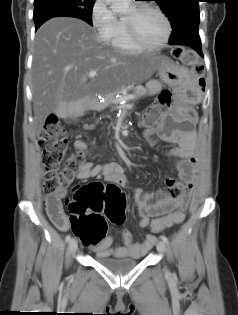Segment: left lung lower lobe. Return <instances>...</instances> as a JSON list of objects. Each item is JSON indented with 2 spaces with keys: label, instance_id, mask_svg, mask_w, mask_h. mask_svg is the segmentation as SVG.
<instances>
[{
  "label": "left lung lower lobe",
  "instance_id": "0a47b994",
  "mask_svg": "<svg viewBox=\"0 0 238 315\" xmlns=\"http://www.w3.org/2000/svg\"><path fill=\"white\" fill-rule=\"evenodd\" d=\"M170 44L189 46L193 48L195 51H197L199 55L203 56L202 49H201V40H200L198 31H192V32L182 35L181 37L175 40H171Z\"/></svg>",
  "mask_w": 238,
  "mask_h": 315
}]
</instances>
